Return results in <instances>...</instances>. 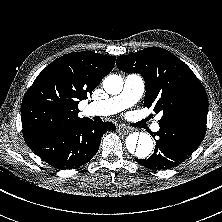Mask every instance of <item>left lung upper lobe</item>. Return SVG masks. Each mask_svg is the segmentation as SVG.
<instances>
[{"instance_id": "left-lung-upper-lobe-1", "label": "left lung upper lobe", "mask_w": 222, "mask_h": 222, "mask_svg": "<svg viewBox=\"0 0 222 222\" xmlns=\"http://www.w3.org/2000/svg\"><path fill=\"white\" fill-rule=\"evenodd\" d=\"M117 67L143 76L144 106H153L156 113L163 112L159 123L191 121L206 125V91L193 71L171 52L149 47L117 57Z\"/></svg>"}]
</instances>
